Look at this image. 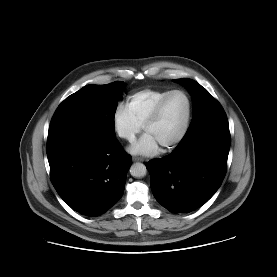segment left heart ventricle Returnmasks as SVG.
<instances>
[{
  "label": "left heart ventricle",
  "mask_w": 277,
  "mask_h": 277,
  "mask_svg": "<svg viewBox=\"0 0 277 277\" xmlns=\"http://www.w3.org/2000/svg\"><path fill=\"white\" fill-rule=\"evenodd\" d=\"M188 111V103L184 95L174 94L164 106L160 118L148 129L160 146H163L182 131Z\"/></svg>",
  "instance_id": "b2bd125f"
}]
</instances>
